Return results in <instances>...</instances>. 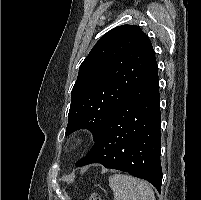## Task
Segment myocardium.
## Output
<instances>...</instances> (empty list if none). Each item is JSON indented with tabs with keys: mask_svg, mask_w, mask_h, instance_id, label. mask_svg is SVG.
<instances>
[{
	"mask_svg": "<svg viewBox=\"0 0 201 200\" xmlns=\"http://www.w3.org/2000/svg\"><path fill=\"white\" fill-rule=\"evenodd\" d=\"M87 142V135L85 133H78L69 142V150L72 152L78 151L84 147Z\"/></svg>",
	"mask_w": 201,
	"mask_h": 200,
	"instance_id": "f54148a6",
	"label": "myocardium"
}]
</instances>
